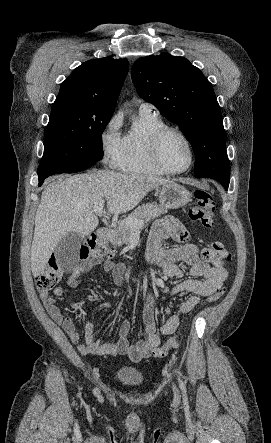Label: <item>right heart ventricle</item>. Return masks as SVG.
I'll use <instances>...</instances> for the list:
<instances>
[{"label": "right heart ventricle", "mask_w": 271, "mask_h": 443, "mask_svg": "<svg viewBox=\"0 0 271 443\" xmlns=\"http://www.w3.org/2000/svg\"><path fill=\"white\" fill-rule=\"evenodd\" d=\"M166 126L158 114L139 112L132 127L123 137V150L118 161L120 170L135 174L163 175L153 162L150 142L153 134Z\"/></svg>", "instance_id": "obj_1"}]
</instances>
